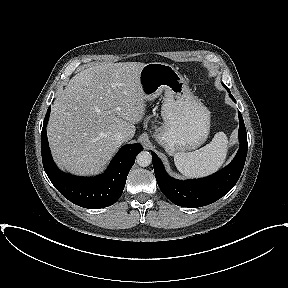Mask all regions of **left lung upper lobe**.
<instances>
[{"label":"left lung upper lobe","instance_id":"obj_1","mask_svg":"<svg viewBox=\"0 0 288 288\" xmlns=\"http://www.w3.org/2000/svg\"><path fill=\"white\" fill-rule=\"evenodd\" d=\"M223 86H224L225 88H228V87H227L226 85H224V84H223Z\"/></svg>","mask_w":288,"mask_h":288}]
</instances>
